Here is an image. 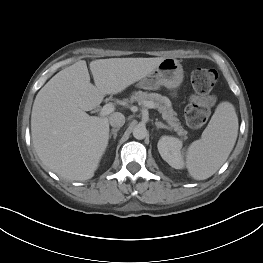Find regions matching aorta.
<instances>
[{
	"instance_id": "1",
	"label": "aorta",
	"mask_w": 263,
	"mask_h": 263,
	"mask_svg": "<svg viewBox=\"0 0 263 263\" xmlns=\"http://www.w3.org/2000/svg\"><path fill=\"white\" fill-rule=\"evenodd\" d=\"M148 132L145 126L142 125H137L134 129H133V136L134 138L138 139V140H142L147 136Z\"/></svg>"
}]
</instances>
